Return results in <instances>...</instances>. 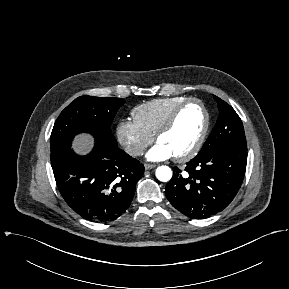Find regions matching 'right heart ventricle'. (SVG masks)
I'll use <instances>...</instances> for the list:
<instances>
[{
    "label": "right heart ventricle",
    "instance_id": "e07e8e85",
    "mask_svg": "<svg viewBox=\"0 0 289 289\" xmlns=\"http://www.w3.org/2000/svg\"><path fill=\"white\" fill-rule=\"evenodd\" d=\"M186 99L188 98L183 96H173L142 103L133 108V119L145 132L154 137L172 111Z\"/></svg>",
    "mask_w": 289,
    "mask_h": 289
}]
</instances>
